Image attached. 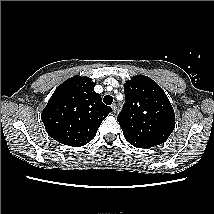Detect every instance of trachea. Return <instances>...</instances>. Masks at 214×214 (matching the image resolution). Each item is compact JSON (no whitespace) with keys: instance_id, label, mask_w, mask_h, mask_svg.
Listing matches in <instances>:
<instances>
[{"instance_id":"trachea-1","label":"trachea","mask_w":214,"mask_h":214,"mask_svg":"<svg viewBox=\"0 0 214 214\" xmlns=\"http://www.w3.org/2000/svg\"><path fill=\"white\" fill-rule=\"evenodd\" d=\"M103 101L106 105H111L113 102V97L110 95H106L104 96Z\"/></svg>"}]
</instances>
